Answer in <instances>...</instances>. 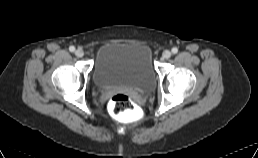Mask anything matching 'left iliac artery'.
<instances>
[{
    "label": "left iliac artery",
    "mask_w": 258,
    "mask_h": 158,
    "mask_svg": "<svg viewBox=\"0 0 258 158\" xmlns=\"http://www.w3.org/2000/svg\"><path fill=\"white\" fill-rule=\"evenodd\" d=\"M171 51L173 54H176L178 52V49L176 47H173Z\"/></svg>",
    "instance_id": "44dca946"
}]
</instances>
